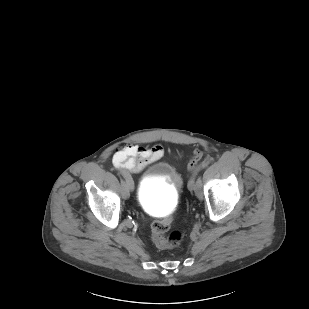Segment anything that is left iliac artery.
Instances as JSON below:
<instances>
[{
	"label": "left iliac artery",
	"mask_w": 309,
	"mask_h": 309,
	"mask_svg": "<svg viewBox=\"0 0 309 309\" xmlns=\"http://www.w3.org/2000/svg\"><path fill=\"white\" fill-rule=\"evenodd\" d=\"M207 164H208V161L202 162V164L199 166V168L197 169V171H199L200 169L206 167ZM190 181H191V182L193 183V185L196 186V187H201V186H202V181H201L200 178L197 179L196 183H195V178H194V177L191 178ZM190 181H189V182H190Z\"/></svg>",
	"instance_id": "left-iliac-artery-1"
}]
</instances>
